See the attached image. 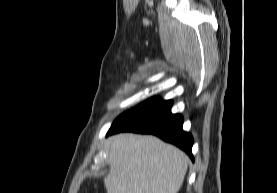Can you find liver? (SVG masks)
I'll return each instance as SVG.
<instances>
[{"mask_svg": "<svg viewBox=\"0 0 277 193\" xmlns=\"http://www.w3.org/2000/svg\"><path fill=\"white\" fill-rule=\"evenodd\" d=\"M107 151V193H177L189 163L183 151L151 135H114Z\"/></svg>", "mask_w": 277, "mask_h": 193, "instance_id": "liver-1", "label": "liver"}]
</instances>
